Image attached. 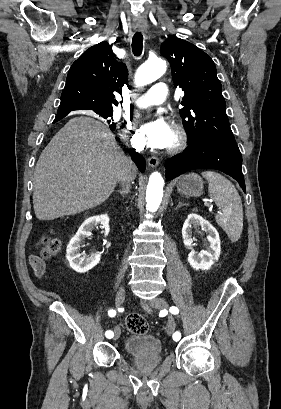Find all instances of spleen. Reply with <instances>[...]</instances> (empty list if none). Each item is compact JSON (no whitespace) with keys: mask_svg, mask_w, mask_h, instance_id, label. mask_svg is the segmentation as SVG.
<instances>
[{"mask_svg":"<svg viewBox=\"0 0 281 409\" xmlns=\"http://www.w3.org/2000/svg\"><path fill=\"white\" fill-rule=\"evenodd\" d=\"M201 174L208 180L209 194L221 210L215 217L216 223L227 233L230 241L236 243L243 231V207L238 190L220 172L204 170Z\"/></svg>","mask_w":281,"mask_h":409,"instance_id":"3e777b00","label":"spleen"}]
</instances>
